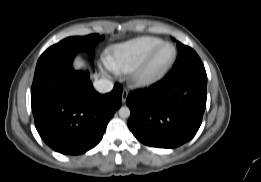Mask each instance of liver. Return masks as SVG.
I'll return each instance as SVG.
<instances>
[{
  "label": "liver",
  "instance_id": "6515ba94",
  "mask_svg": "<svg viewBox=\"0 0 261 182\" xmlns=\"http://www.w3.org/2000/svg\"><path fill=\"white\" fill-rule=\"evenodd\" d=\"M74 66H75V69H76V70H80V69H82V68L85 67V63L83 62L82 59L77 58V59L75 60V62H74Z\"/></svg>",
  "mask_w": 261,
  "mask_h": 182
}]
</instances>
